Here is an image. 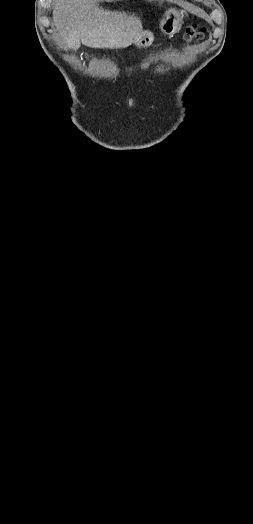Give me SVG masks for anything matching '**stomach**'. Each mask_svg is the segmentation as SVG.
I'll use <instances>...</instances> for the list:
<instances>
[{
  "label": "stomach",
  "instance_id": "1",
  "mask_svg": "<svg viewBox=\"0 0 253 524\" xmlns=\"http://www.w3.org/2000/svg\"><path fill=\"white\" fill-rule=\"evenodd\" d=\"M183 24V12L176 9H169L165 12L160 23L161 31L169 36L179 32ZM154 36L149 31H142L136 38L135 45L138 48H147L152 44Z\"/></svg>",
  "mask_w": 253,
  "mask_h": 524
}]
</instances>
